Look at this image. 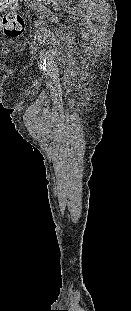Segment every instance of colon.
Masks as SVG:
<instances>
[{
  "instance_id": "1",
  "label": "colon",
  "mask_w": 131,
  "mask_h": 311,
  "mask_svg": "<svg viewBox=\"0 0 131 311\" xmlns=\"http://www.w3.org/2000/svg\"><path fill=\"white\" fill-rule=\"evenodd\" d=\"M5 12L0 21V30L7 37L21 35L25 28V21L18 10L17 0H0V12Z\"/></svg>"
}]
</instances>
